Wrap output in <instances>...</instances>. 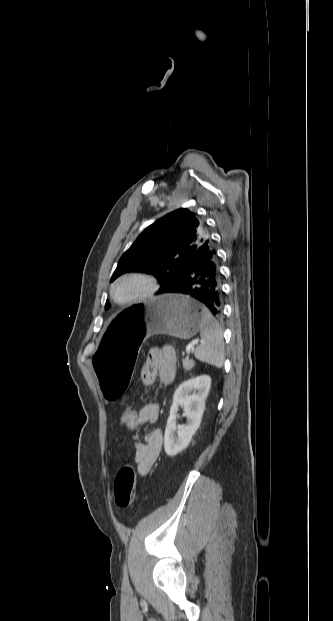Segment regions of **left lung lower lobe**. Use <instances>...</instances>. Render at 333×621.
Masks as SVG:
<instances>
[{
  "label": "left lung lower lobe",
  "instance_id": "0a47b994",
  "mask_svg": "<svg viewBox=\"0 0 333 621\" xmlns=\"http://www.w3.org/2000/svg\"><path fill=\"white\" fill-rule=\"evenodd\" d=\"M221 278L217 252L211 241L202 244L186 263L181 275L160 294L182 293L206 305L220 316L222 311Z\"/></svg>",
  "mask_w": 333,
  "mask_h": 621
}]
</instances>
